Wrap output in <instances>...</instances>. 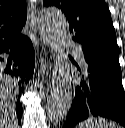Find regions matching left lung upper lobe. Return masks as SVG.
<instances>
[{
    "instance_id": "left-lung-upper-lobe-1",
    "label": "left lung upper lobe",
    "mask_w": 125,
    "mask_h": 128,
    "mask_svg": "<svg viewBox=\"0 0 125 128\" xmlns=\"http://www.w3.org/2000/svg\"><path fill=\"white\" fill-rule=\"evenodd\" d=\"M43 4L65 14L72 39L82 46L85 63L119 61L115 29L104 0H43Z\"/></svg>"
}]
</instances>
